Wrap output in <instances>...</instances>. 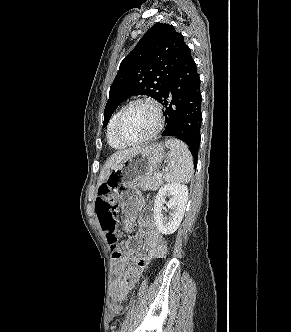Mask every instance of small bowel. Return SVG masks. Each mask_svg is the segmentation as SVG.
<instances>
[{"label":"small bowel","instance_id":"c3829d8e","mask_svg":"<svg viewBox=\"0 0 291 332\" xmlns=\"http://www.w3.org/2000/svg\"><path fill=\"white\" fill-rule=\"evenodd\" d=\"M108 188L106 185L100 186L101 189ZM97 200V198H96ZM96 210V204H95ZM97 212V211H96ZM124 231L130 232L133 224L129 219L124 220ZM134 239L143 241L145 251L138 254L131 247L118 250L119 256L115 259L113 269L117 278L113 283L112 296L115 300L125 299L128 292L135 285L140 273L152 259H159L165 256L167 244L164 236L157 230L151 218L142 217L140 228L135 234ZM126 262H130L125 274H121Z\"/></svg>","mask_w":291,"mask_h":332}]
</instances>
